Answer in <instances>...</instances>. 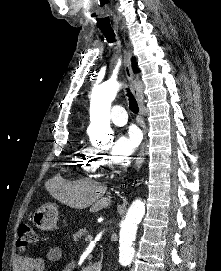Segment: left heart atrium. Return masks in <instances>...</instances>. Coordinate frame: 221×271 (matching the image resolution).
Listing matches in <instances>:
<instances>
[{"label": "left heart atrium", "instance_id": "obj_1", "mask_svg": "<svg viewBox=\"0 0 221 271\" xmlns=\"http://www.w3.org/2000/svg\"><path fill=\"white\" fill-rule=\"evenodd\" d=\"M141 142V132L137 129H129L122 133L119 142H112L111 153L113 157H132Z\"/></svg>", "mask_w": 221, "mask_h": 271}]
</instances>
